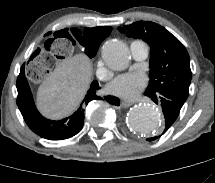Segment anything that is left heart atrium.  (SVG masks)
Listing matches in <instances>:
<instances>
[{"instance_id":"1","label":"left heart atrium","mask_w":215,"mask_h":183,"mask_svg":"<svg viewBox=\"0 0 215 183\" xmlns=\"http://www.w3.org/2000/svg\"><path fill=\"white\" fill-rule=\"evenodd\" d=\"M147 83V78L140 72L128 73L114 79L108 86L111 94L124 98L126 100H134L138 97L142 89Z\"/></svg>"}]
</instances>
